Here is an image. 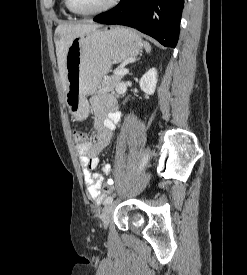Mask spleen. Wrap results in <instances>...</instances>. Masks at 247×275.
<instances>
[{"label": "spleen", "instance_id": "obj_1", "mask_svg": "<svg viewBox=\"0 0 247 275\" xmlns=\"http://www.w3.org/2000/svg\"><path fill=\"white\" fill-rule=\"evenodd\" d=\"M144 48L146 50L147 53L151 52V46L148 42H143Z\"/></svg>", "mask_w": 247, "mask_h": 275}]
</instances>
